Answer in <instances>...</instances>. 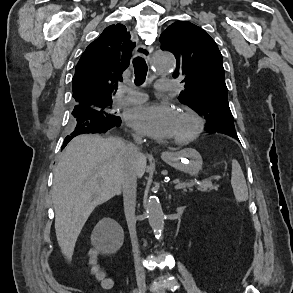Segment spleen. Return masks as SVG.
Returning <instances> with one entry per match:
<instances>
[{"mask_svg":"<svg viewBox=\"0 0 293 293\" xmlns=\"http://www.w3.org/2000/svg\"><path fill=\"white\" fill-rule=\"evenodd\" d=\"M231 185L238 202H244L248 199L246 180L240 164L235 159L232 160Z\"/></svg>","mask_w":293,"mask_h":293,"instance_id":"3e777b00","label":"spleen"}]
</instances>
